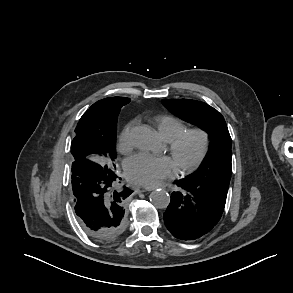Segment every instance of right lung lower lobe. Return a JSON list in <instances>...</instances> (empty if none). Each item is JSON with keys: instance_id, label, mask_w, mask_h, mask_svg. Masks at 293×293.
Masks as SVG:
<instances>
[{"instance_id": "obj_1", "label": "right lung lower lobe", "mask_w": 293, "mask_h": 293, "mask_svg": "<svg viewBox=\"0 0 293 293\" xmlns=\"http://www.w3.org/2000/svg\"><path fill=\"white\" fill-rule=\"evenodd\" d=\"M75 212L83 230L99 241H112L126 228V198L132 193L121 189L113 170L81 159L72 164ZM121 180V179H120Z\"/></svg>"}]
</instances>
